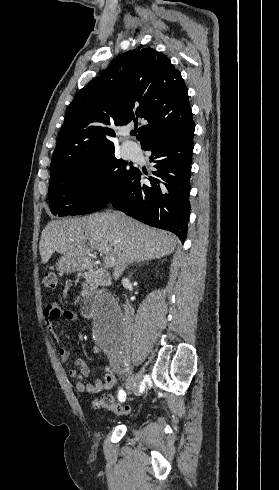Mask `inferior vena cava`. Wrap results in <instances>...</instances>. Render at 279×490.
<instances>
[{"label": "inferior vena cava", "instance_id": "1", "mask_svg": "<svg viewBox=\"0 0 279 490\" xmlns=\"http://www.w3.org/2000/svg\"><path fill=\"white\" fill-rule=\"evenodd\" d=\"M123 224H124V218H123V216H121V226H123ZM133 258H134V254H131L129 264H131ZM122 282H127V278H123ZM124 296H125V294H124ZM125 298H126V302H125V306H124L125 320H126L127 324H133L134 316H135L134 308H132L129 300H127V296H125Z\"/></svg>", "mask_w": 279, "mask_h": 490}]
</instances>
